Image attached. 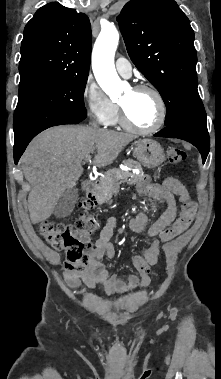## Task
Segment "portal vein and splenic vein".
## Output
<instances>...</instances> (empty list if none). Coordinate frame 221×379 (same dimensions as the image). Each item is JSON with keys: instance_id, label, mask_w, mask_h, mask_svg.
<instances>
[{"instance_id": "obj_1", "label": "portal vein and splenic vein", "mask_w": 221, "mask_h": 379, "mask_svg": "<svg viewBox=\"0 0 221 379\" xmlns=\"http://www.w3.org/2000/svg\"><path fill=\"white\" fill-rule=\"evenodd\" d=\"M85 160L90 162V161H91V158H90V157H87Z\"/></svg>"}]
</instances>
